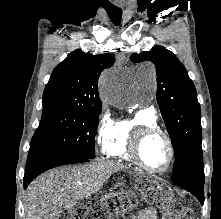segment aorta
I'll use <instances>...</instances> for the list:
<instances>
[{"instance_id":"obj_1","label":"aorta","mask_w":221,"mask_h":219,"mask_svg":"<svg viewBox=\"0 0 221 219\" xmlns=\"http://www.w3.org/2000/svg\"><path fill=\"white\" fill-rule=\"evenodd\" d=\"M142 76L146 78L150 83L154 82V70L144 69L141 71ZM101 94L105 99L113 100L118 97V92L116 90V82L114 77L110 75L103 76L101 84Z\"/></svg>"}]
</instances>
